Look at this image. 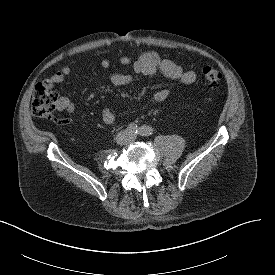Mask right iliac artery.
<instances>
[{
    "mask_svg": "<svg viewBox=\"0 0 275 275\" xmlns=\"http://www.w3.org/2000/svg\"><path fill=\"white\" fill-rule=\"evenodd\" d=\"M127 129L131 134L138 133V126L136 124H130Z\"/></svg>",
    "mask_w": 275,
    "mask_h": 275,
    "instance_id": "82829eb1",
    "label": "right iliac artery"
}]
</instances>
